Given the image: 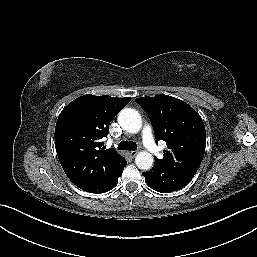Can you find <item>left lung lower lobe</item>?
<instances>
[{
  "instance_id": "left-lung-lower-lobe-1",
  "label": "left lung lower lobe",
  "mask_w": 257,
  "mask_h": 257,
  "mask_svg": "<svg viewBox=\"0 0 257 257\" xmlns=\"http://www.w3.org/2000/svg\"><path fill=\"white\" fill-rule=\"evenodd\" d=\"M147 184L155 191L170 193L185 187L195 174L174 168L154 164L153 168L143 172Z\"/></svg>"
}]
</instances>
